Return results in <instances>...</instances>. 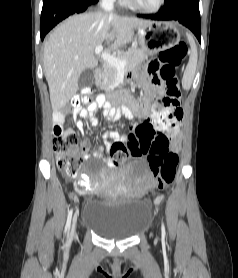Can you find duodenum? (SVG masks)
<instances>
[{"label":"duodenum","instance_id":"1","mask_svg":"<svg viewBox=\"0 0 238 278\" xmlns=\"http://www.w3.org/2000/svg\"><path fill=\"white\" fill-rule=\"evenodd\" d=\"M93 75H94L95 79H99L101 77V75H102L101 68H99V67L95 68Z\"/></svg>","mask_w":238,"mask_h":278}]
</instances>
